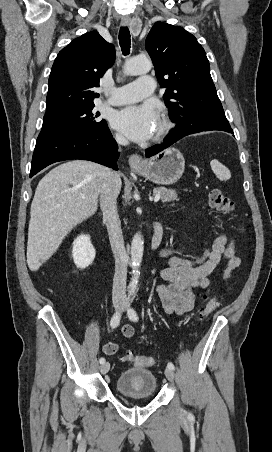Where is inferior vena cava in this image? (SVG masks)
I'll return each instance as SVG.
<instances>
[{"label": "inferior vena cava", "mask_w": 272, "mask_h": 452, "mask_svg": "<svg viewBox=\"0 0 272 452\" xmlns=\"http://www.w3.org/2000/svg\"><path fill=\"white\" fill-rule=\"evenodd\" d=\"M115 139L120 145L128 144V140L121 135H116ZM118 181L119 175L109 170L100 192V207L115 258L112 298L113 300H125L128 255L125 250L121 222L117 212Z\"/></svg>", "instance_id": "inferior-vena-cava-1"}]
</instances>
